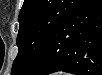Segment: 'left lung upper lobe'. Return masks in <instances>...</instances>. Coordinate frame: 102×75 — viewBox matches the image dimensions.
<instances>
[{"label": "left lung upper lobe", "mask_w": 102, "mask_h": 75, "mask_svg": "<svg viewBox=\"0 0 102 75\" xmlns=\"http://www.w3.org/2000/svg\"><path fill=\"white\" fill-rule=\"evenodd\" d=\"M82 2V0L24 1L19 15L20 29L17 37L19 54L13 64V73L27 74L31 71L48 38ZM35 46L37 47L30 60Z\"/></svg>", "instance_id": "1"}]
</instances>
